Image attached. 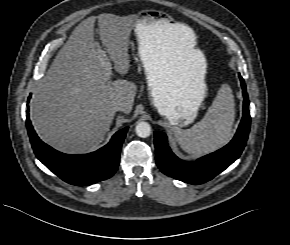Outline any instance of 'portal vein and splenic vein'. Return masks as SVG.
Instances as JSON below:
<instances>
[{"mask_svg":"<svg viewBox=\"0 0 290 245\" xmlns=\"http://www.w3.org/2000/svg\"><path fill=\"white\" fill-rule=\"evenodd\" d=\"M103 64L105 65L104 79L108 81L111 75V64L107 56L103 59Z\"/></svg>","mask_w":290,"mask_h":245,"instance_id":"1","label":"portal vein and splenic vein"}]
</instances>
